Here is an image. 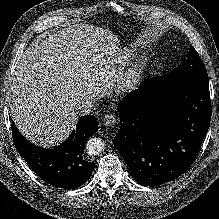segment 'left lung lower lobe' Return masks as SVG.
I'll return each mask as SVG.
<instances>
[{
  "instance_id": "obj_1",
  "label": "left lung lower lobe",
  "mask_w": 219,
  "mask_h": 219,
  "mask_svg": "<svg viewBox=\"0 0 219 219\" xmlns=\"http://www.w3.org/2000/svg\"><path fill=\"white\" fill-rule=\"evenodd\" d=\"M151 79L120 101L122 126L113 139L132 176L144 186L168 182L188 170L212 111L207 80L156 86Z\"/></svg>"
}]
</instances>
